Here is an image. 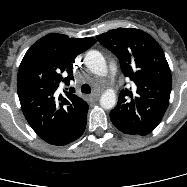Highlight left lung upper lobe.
Listing matches in <instances>:
<instances>
[{
    "label": "left lung upper lobe",
    "instance_id": "5c2ea615",
    "mask_svg": "<svg viewBox=\"0 0 187 187\" xmlns=\"http://www.w3.org/2000/svg\"><path fill=\"white\" fill-rule=\"evenodd\" d=\"M97 39L118 57L122 72L136 85L121 90L110 116L137 134H149L162 120L171 93L163 50L152 36L135 28L110 30Z\"/></svg>",
    "mask_w": 187,
    "mask_h": 187
}]
</instances>
